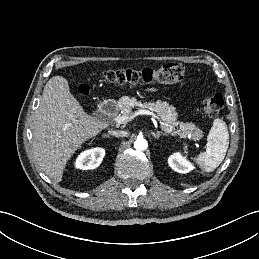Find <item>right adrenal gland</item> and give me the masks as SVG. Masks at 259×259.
I'll return each mask as SVG.
<instances>
[{
  "label": "right adrenal gland",
  "mask_w": 259,
  "mask_h": 259,
  "mask_svg": "<svg viewBox=\"0 0 259 259\" xmlns=\"http://www.w3.org/2000/svg\"><path fill=\"white\" fill-rule=\"evenodd\" d=\"M103 137L110 138L108 134H104Z\"/></svg>",
  "instance_id": "obj_1"
}]
</instances>
